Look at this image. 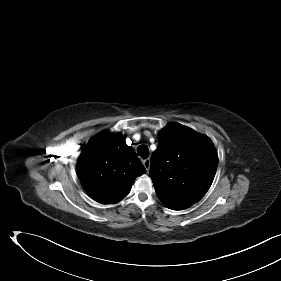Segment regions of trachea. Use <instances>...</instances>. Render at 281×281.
<instances>
[{"label":"trachea","mask_w":281,"mask_h":281,"mask_svg":"<svg viewBox=\"0 0 281 281\" xmlns=\"http://www.w3.org/2000/svg\"><path fill=\"white\" fill-rule=\"evenodd\" d=\"M137 153L139 156L146 159L149 156V149L146 145H140L137 149Z\"/></svg>","instance_id":"1"}]
</instances>
